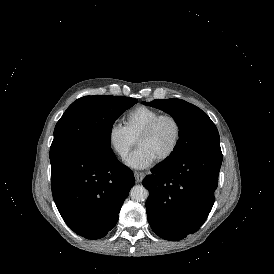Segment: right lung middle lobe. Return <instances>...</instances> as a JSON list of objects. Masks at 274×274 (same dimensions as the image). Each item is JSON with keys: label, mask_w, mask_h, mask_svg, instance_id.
Here are the masks:
<instances>
[{"label": "right lung middle lobe", "mask_w": 274, "mask_h": 274, "mask_svg": "<svg viewBox=\"0 0 274 274\" xmlns=\"http://www.w3.org/2000/svg\"><path fill=\"white\" fill-rule=\"evenodd\" d=\"M137 103L122 96H85L74 101L56 124L50 162L63 155L111 151L115 120Z\"/></svg>", "instance_id": "obj_1"}]
</instances>
